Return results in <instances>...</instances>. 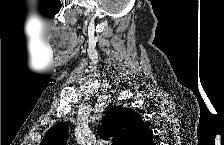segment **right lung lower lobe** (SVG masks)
<instances>
[{"instance_id": "right-lung-lower-lobe-1", "label": "right lung lower lobe", "mask_w": 224, "mask_h": 145, "mask_svg": "<svg viewBox=\"0 0 224 145\" xmlns=\"http://www.w3.org/2000/svg\"><path fill=\"white\" fill-rule=\"evenodd\" d=\"M153 144V138L148 142V145Z\"/></svg>"}]
</instances>
